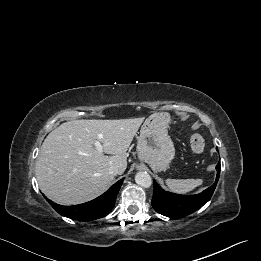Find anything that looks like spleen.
Instances as JSON below:
<instances>
[{
    "label": "spleen",
    "instance_id": "spleen-1",
    "mask_svg": "<svg viewBox=\"0 0 261 261\" xmlns=\"http://www.w3.org/2000/svg\"><path fill=\"white\" fill-rule=\"evenodd\" d=\"M203 183L202 179H167L168 188L176 193L185 194Z\"/></svg>",
    "mask_w": 261,
    "mask_h": 261
}]
</instances>
